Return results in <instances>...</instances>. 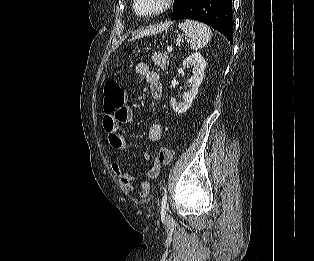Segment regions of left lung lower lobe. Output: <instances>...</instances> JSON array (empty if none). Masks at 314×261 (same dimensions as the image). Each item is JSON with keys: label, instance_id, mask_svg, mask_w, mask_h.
<instances>
[{"label": "left lung lower lobe", "instance_id": "left-lung-lower-lobe-1", "mask_svg": "<svg viewBox=\"0 0 314 261\" xmlns=\"http://www.w3.org/2000/svg\"><path fill=\"white\" fill-rule=\"evenodd\" d=\"M232 0H184L172 20L193 19L223 33L233 43Z\"/></svg>", "mask_w": 314, "mask_h": 261}]
</instances>
